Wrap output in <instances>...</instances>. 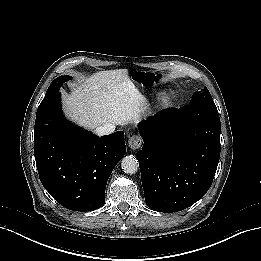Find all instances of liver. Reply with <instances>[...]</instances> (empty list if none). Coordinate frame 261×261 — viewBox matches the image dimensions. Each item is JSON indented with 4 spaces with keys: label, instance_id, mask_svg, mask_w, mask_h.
Here are the masks:
<instances>
[{
    "label": "liver",
    "instance_id": "6515ba94",
    "mask_svg": "<svg viewBox=\"0 0 261 261\" xmlns=\"http://www.w3.org/2000/svg\"><path fill=\"white\" fill-rule=\"evenodd\" d=\"M118 71H102L91 75L71 94L63 96L66 116L93 130L105 124L124 125L138 118L141 99L126 96L118 85Z\"/></svg>",
    "mask_w": 261,
    "mask_h": 261
}]
</instances>
